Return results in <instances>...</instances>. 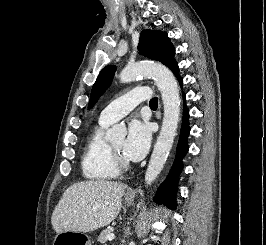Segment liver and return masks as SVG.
I'll list each match as a JSON object with an SVG mask.
<instances>
[{"label":"liver","instance_id":"6515ba94","mask_svg":"<svg viewBox=\"0 0 266 245\" xmlns=\"http://www.w3.org/2000/svg\"><path fill=\"white\" fill-rule=\"evenodd\" d=\"M125 189L127 185L114 181L74 183L63 193L52 213L55 233H90L107 227L121 211Z\"/></svg>","mask_w":266,"mask_h":245}]
</instances>
